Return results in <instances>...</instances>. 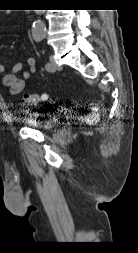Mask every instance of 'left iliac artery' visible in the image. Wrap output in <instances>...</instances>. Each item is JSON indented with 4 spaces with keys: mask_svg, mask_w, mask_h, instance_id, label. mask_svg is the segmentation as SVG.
<instances>
[{
    "mask_svg": "<svg viewBox=\"0 0 138 253\" xmlns=\"http://www.w3.org/2000/svg\"><path fill=\"white\" fill-rule=\"evenodd\" d=\"M51 68H52V67H51L50 63H46L45 69H46L47 71H50Z\"/></svg>",
    "mask_w": 138,
    "mask_h": 253,
    "instance_id": "44dca946",
    "label": "left iliac artery"
}]
</instances>
